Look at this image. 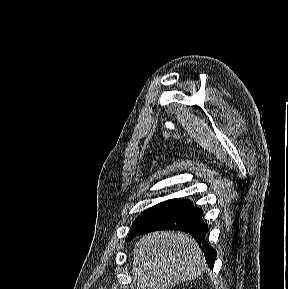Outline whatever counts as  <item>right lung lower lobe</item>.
<instances>
[{"instance_id": "right-lung-lower-lobe-1", "label": "right lung lower lobe", "mask_w": 288, "mask_h": 289, "mask_svg": "<svg viewBox=\"0 0 288 289\" xmlns=\"http://www.w3.org/2000/svg\"><path fill=\"white\" fill-rule=\"evenodd\" d=\"M202 216L203 211L200 208L195 207L191 201L184 199L138 231L134 237L164 229L189 232L197 239L198 244L205 254V259L209 267L213 268L217 253L215 249L205 241L204 236L208 231V226L203 222Z\"/></svg>"}]
</instances>
